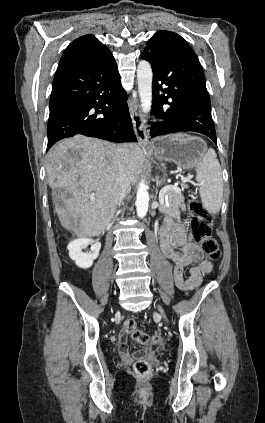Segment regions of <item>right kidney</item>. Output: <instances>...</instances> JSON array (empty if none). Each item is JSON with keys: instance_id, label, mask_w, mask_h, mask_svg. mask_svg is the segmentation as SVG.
Returning a JSON list of instances; mask_svg holds the SVG:
<instances>
[{"instance_id": "obj_1", "label": "right kidney", "mask_w": 265, "mask_h": 423, "mask_svg": "<svg viewBox=\"0 0 265 423\" xmlns=\"http://www.w3.org/2000/svg\"><path fill=\"white\" fill-rule=\"evenodd\" d=\"M87 245H91V251L82 252V248ZM67 248L69 257L75 261V264L82 269H87L93 265V261L98 257L101 243L90 238H79L71 241Z\"/></svg>"}]
</instances>
